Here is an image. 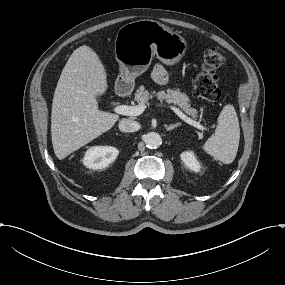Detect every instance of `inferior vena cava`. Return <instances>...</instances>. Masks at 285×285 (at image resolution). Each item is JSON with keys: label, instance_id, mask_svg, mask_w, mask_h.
Wrapping results in <instances>:
<instances>
[{"label": "inferior vena cava", "instance_id": "602c4592", "mask_svg": "<svg viewBox=\"0 0 285 285\" xmlns=\"http://www.w3.org/2000/svg\"><path fill=\"white\" fill-rule=\"evenodd\" d=\"M119 128L123 132H135L139 129V123L131 119H121L119 122Z\"/></svg>", "mask_w": 285, "mask_h": 285}]
</instances>
